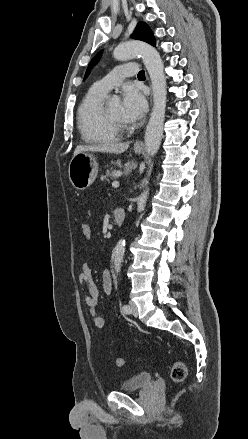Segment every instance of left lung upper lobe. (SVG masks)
Segmentation results:
<instances>
[{
    "label": "left lung upper lobe",
    "mask_w": 248,
    "mask_h": 439,
    "mask_svg": "<svg viewBox=\"0 0 248 439\" xmlns=\"http://www.w3.org/2000/svg\"><path fill=\"white\" fill-rule=\"evenodd\" d=\"M132 38L134 39H138L144 42H147L153 46H155V38L153 35V32L151 31L150 27L144 23V22H139L135 28V31L132 35ZM98 60V56H95L92 61L90 62L88 69L85 73V77L84 80L87 78V76L90 73V69L92 68L93 65H95V63Z\"/></svg>",
    "instance_id": "1"
}]
</instances>
